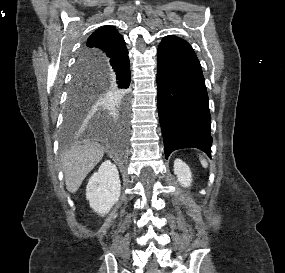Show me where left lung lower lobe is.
I'll return each mask as SVG.
<instances>
[{"label":"left lung lower lobe","instance_id":"obj_1","mask_svg":"<svg viewBox=\"0 0 285 273\" xmlns=\"http://www.w3.org/2000/svg\"><path fill=\"white\" fill-rule=\"evenodd\" d=\"M158 111L165 157L184 147L198 148L211 158V116L202 69L191 45L166 36L158 47Z\"/></svg>","mask_w":285,"mask_h":273}]
</instances>
